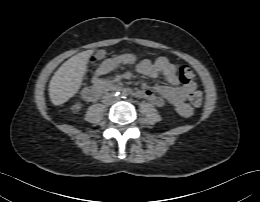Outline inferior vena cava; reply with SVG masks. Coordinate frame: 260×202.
I'll return each instance as SVG.
<instances>
[{"instance_id":"inferior-vena-cava-1","label":"inferior vena cava","mask_w":260,"mask_h":202,"mask_svg":"<svg viewBox=\"0 0 260 202\" xmlns=\"http://www.w3.org/2000/svg\"><path fill=\"white\" fill-rule=\"evenodd\" d=\"M110 100H114L112 95H106V96L103 97L104 103H110Z\"/></svg>"}]
</instances>
